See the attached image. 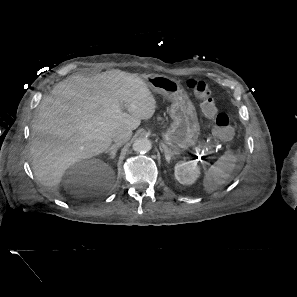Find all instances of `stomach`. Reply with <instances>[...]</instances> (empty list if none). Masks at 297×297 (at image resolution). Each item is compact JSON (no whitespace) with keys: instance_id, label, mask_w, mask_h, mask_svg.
<instances>
[{"instance_id":"stomach-1","label":"stomach","mask_w":297,"mask_h":297,"mask_svg":"<svg viewBox=\"0 0 297 297\" xmlns=\"http://www.w3.org/2000/svg\"><path fill=\"white\" fill-rule=\"evenodd\" d=\"M146 82L153 91L172 102L170 117L173 122L162 132L163 144L176 154L194 147L200 136V125L196 109L180 82L162 75L148 76Z\"/></svg>"}]
</instances>
